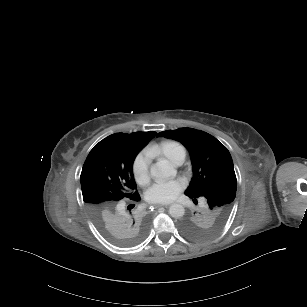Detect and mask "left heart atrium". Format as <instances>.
Listing matches in <instances>:
<instances>
[{
	"label": "left heart atrium",
	"instance_id": "obj_1",
	"mask_svg": "<svg viewBox=\"0 0 307 307\" xmlns=\"http://www.w3.org/2000/svg\"><path fill=\"white\" fill-rule=\"evenodd\" d=\"M180 189L177 181H158L148 186L145 197L150 203L166 204L175 199Z\"/></svg>",
	"mask_w": 307,
	"mask_h": 307
}]
</instances>
